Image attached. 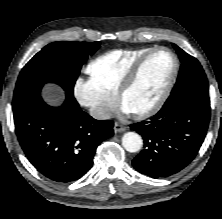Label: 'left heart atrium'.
Returning <instances> with one entry per match:
<instances>
[{"label": "left heart atrium", "mask_w": 222, "mask_h": 219, "mask_svg": "<svg viewBox=\"0 0 222 219\" xmlns=\"http://www.w3.org/2000/svg\"><path fill=\"white\" fill-rule=\"evenodd\" d=\"M121 111H122L123 114H126V115L132 113L125 105H122Z\"/></svg>", "instance_id": "39dd6f15"}]
</instances>
